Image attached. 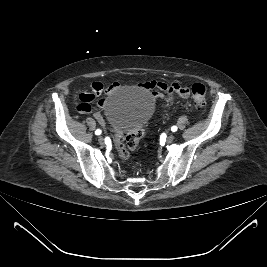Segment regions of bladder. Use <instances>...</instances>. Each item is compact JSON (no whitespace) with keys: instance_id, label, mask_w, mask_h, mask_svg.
<instances>
[{"instance_id":"31cf9c89","label":"bladder","mask_w":267,"mask_h":267,"mask_svg":"<svg viewBox=\"0 0 267 267\" xmlns=\"http://www.w3.org/2000/svg\"><path fill=\"white\" fill-rule=\"evenodd\" d=\"M153 110L154 106L148 95L132 87L114 90L104 107L107 122L121 133L145 125L151 118Z\"/></svg>"}]
</instances>
